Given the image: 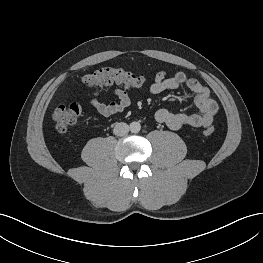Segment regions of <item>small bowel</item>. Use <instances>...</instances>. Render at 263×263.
<instances>
[{
    "mask_svg": "<svg viewBox=\"0 0 263 263\" xmlns=\"http://www.w3.org/2000/svg\"><path fill=\"white\" fill-rule=\"evenodd\" d=\"M186 87L195 94L194 102L198 112L194 114L173 113L166 108H160L155 113L157 122L167 125L172 130H179L184 126L195 128L209 127L215 117L218 106L211 97L209 89L198 80L189 77L186 73L179 71L168 77L165 71L156 73L150 85V92L154 95L166 90H175ZM117 101L104 103L100 100L101 88L96 87L92 90L89 104L100 115L110 117L122 113L131 104L128 92L120 87L113 89Z\"/></svg>",
    "mask_w": 263,
    "mask_h": 263,
    "instance_id": "c3829d8e",
    "label": "small bowel"
}]
</instances>
